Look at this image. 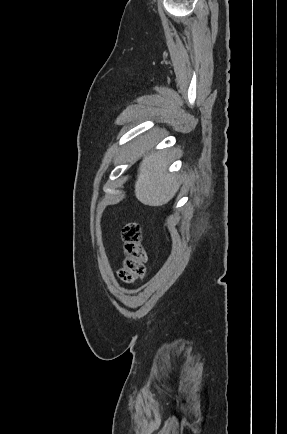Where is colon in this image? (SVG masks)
Here are the masks:
<instances>
[{
	"instance_id": "1",
	"label": "colon",
	"mask_w": 287,
	"mask_h": 434,
	"mask_svg": "<svg viewBox=\"0 0 287 434\" xmlns=\"http://www.w3.org/2000/svg\"><path fill=\"white\" fill-rule=\"evenodd\" d=\"M123 241V261L119 277L124 283H133L146 273L148 254L138 223L129 222L121 232Z\"/></svg>"
}]
</instances>
